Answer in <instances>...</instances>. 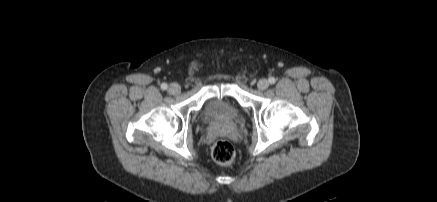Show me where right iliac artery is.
<instances>
[{"mask_svg": "<svg viewBox=\"0 0 437 202\" xmlns=\"http://www.w3.org/2000/svg\"><path fill=\"white\" fill-rule=\"evenodd\" d=\"M167 84L166 83H163V84H161V89H163V90H165V89H167Z\"/></svg>", "mask_w": 437, "mask_h": 202, "instance_id": "1", "label": "right iliac artery"}]
</instances>
